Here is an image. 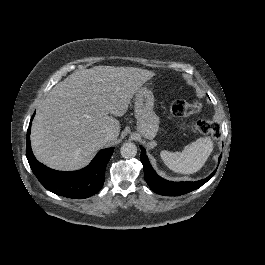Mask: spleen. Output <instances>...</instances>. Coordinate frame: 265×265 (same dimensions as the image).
Instances as JSON below:
<instances>
[{"mask_svg":"<svg viewBox=\"0 0 265 265\" xmlns=\"http://www.w3.org/2000/svg\"><path fill=\"white\" fill-rule=\"evenodd\" d=\"M213 150L210 138H198L185 146L182 152L163 150L160 156L164 164L172 171L182 174H192L200 170Z\"/></svg>","mask_w":265,"mask_h":265,"instance_id":"obj_1","label":"spleen"}]
</instances>
